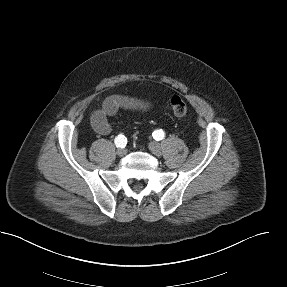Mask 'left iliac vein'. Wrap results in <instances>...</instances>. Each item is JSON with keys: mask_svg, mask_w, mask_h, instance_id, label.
I'll use <instances>...</instances> for the list:
<instances>
[{"mask_svg": "<svg viewBox=\"0 0 287 287\" xmlns=\"http://www.w3.org/2000/svg\"><path fill=\"white\" fill-rule=\"evenodd\" d=\"M148 148L154 155L159 156L161 154V146L156 141L150 142Z\"/></svg>", "mask_w": 287, "mask_h": 287, "instance_id": "obj_1", "label": "left iliac vein"}]
</instances>
